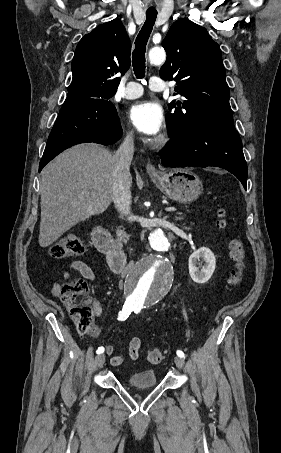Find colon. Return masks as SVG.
Listing matches in <instances>:
<instances>
[{
    "instance_id": "5ec220e1",
    "label": "colon",
    "mask_w": 281,
    "mask_h": 453,
    "mask_svg": "<svg viewBox=\"0 0 281 453\" xmlns=\"http://www.w3.org/2000/svg\"><path fill=\"white\" fill-rule=\"evenodd\" d=\"M228 226V215L223 199L218 201V212L215 220V227L218 230H225ZM229 248L233 261L232 281L230 292L237 291L242 283V278L246 268V255L243 244L238 237H233L229 241ZM49 255L54 260H65L72 257H84L87 255L85 245L76 238H63L52 242L49 246ZM88 291L87 281L77 278L67 283L63 289V299L69 310L76 316L77 329L79 331H89L92 328L91 310L82 303L83 297ZM145 357L150 363H162L163 354L159 349H148Z\"/></svg>"
}]
</instances>
